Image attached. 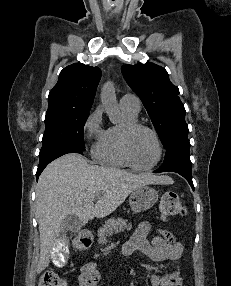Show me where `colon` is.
<instances>
[{"label":"colon","mask_w":231,"mask_h":286,"mask_svg":"<svg viewBox=\"0 0 231 286\" xmlns=\"http://www.w3.org/2000/svg\"><path fill=\"white\" fill-rule=\"evenodd\" d=\"M185 213V208L175 192H166L160 201V214L163 219L174 216H181ZM38 286H68L65 280L53 271L44 272L38 282Z\"/></svg>","instance_id":"1"}]
</instances>
